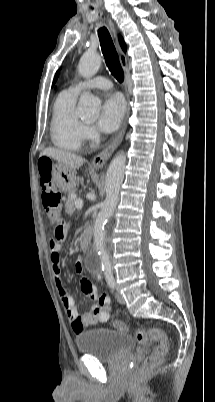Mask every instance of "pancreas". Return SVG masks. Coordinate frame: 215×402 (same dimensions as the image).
Here are the masks:
<instances>
[{"instance_id":"obj_1","label":"pancreas","mask_w":215,"mask_h":402,"mask_svg":"<svg viewBox=\"0 0 215 402\" xmlns=\"http://www.w3.org/2000/svg\"><path fill=\"white\" fill-rule=\"evenodd\" d=\"M75 190L73 189L72 191L69 192L68 198L65 204V212L69 215L73 214L75 211L74 205H75Z\"/></svg>"}]
</instances>
